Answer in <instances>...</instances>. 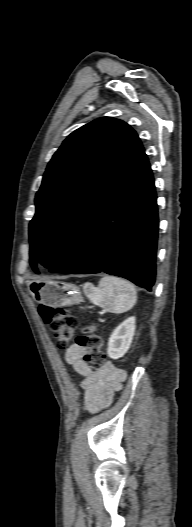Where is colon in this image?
I'll return each instance as SVG.
<instances>
[{
  "instance_id": "5ec220e1",
  "label": "colon",
  "mask_w": 192,
  "mask_h": 527,
  "mask_svg": "<svg viewBox=\"0 0 192 527\" xmlns=\"http://www.w3.org/2000/svg\"><path fill=\"white\" fill-rule=\"evenodd\" d=\"M39 314L57 339L59 347H66L73 339L77 318L66 308L51 305H40ZM76 344L86 350L83 359L89 366L100 367L104 364L103 340L97 334L95 325H84L82 333L76 338Z\"/></svg>"
}]
</instances>
